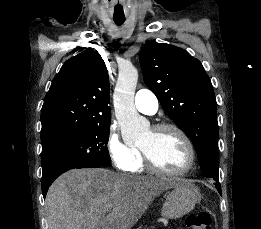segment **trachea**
Segmentation results:
<instances>
[{
  "label": "trachea",
  "mask_w": 261,
  "mask_h": 229,
  "mask_svg": "<svg viewBox=\"0 0 261 229\" xmlns=\"http://www.w3.org/2000/svg\"><path fill=\"white\" fill-rule=\"evenodd\" d=\"M116 25H122L125 22V17H113Z\"/></svg>",
  "instance_id": "trachea-1"
}]
</instances>
